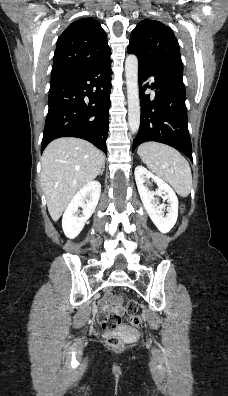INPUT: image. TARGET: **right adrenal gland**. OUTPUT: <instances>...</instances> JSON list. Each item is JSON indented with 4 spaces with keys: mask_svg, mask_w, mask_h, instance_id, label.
Segmentation results:
<instances>
[{
    "mask_svg": "<svg viewBox=\"0 0 228 396\" xmlns=\"http://www.w3.org/2000/svg\"><path fill=\"white\" fill-rule=\"evenodd\" d=\"M104 169H105V165H103V168H102V170H101L100 173H99L100 175L103 174Z\"/></svg>",
    "mask_w": 228,
    "mask_h": 396,
    "instance_id": "right-adrenal-gland-1",
    "label": "right adrenal gland"
}]
</instances>
